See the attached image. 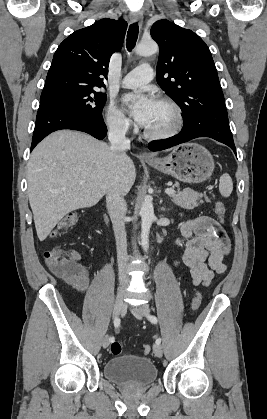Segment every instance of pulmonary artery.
Masks as SVG:
<instances>
[{
    "label": "pulmonary artery",
    "instance_id": "pulmonary-artery-1",
    "mask_svg": "<svg viewBox=\"0 0 267 419\" xmlns=\"http://www.w3.org/2000/svg\"><path fill=\"white\" fill-rule=\"evenodd\" d=\"M153 74V68L150 65H139L123 78L122 85L127 88L143 86L152 80Z\"/></svg>",
    "mask_w": 267,
    "mask_h": 419
}]
</instances>
